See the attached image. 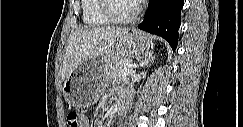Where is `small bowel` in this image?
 Returning <instances> with one entry per match:
<instances>
[{
    "mask_svg": "<svg viewBox=\"0 0 243 127\" xmlns=\"http://www.w3.org/2000/svg\"><path fill=\"white\" fill-rule=\"evenodd\" d=\"M124 94H127V92H124ZM84 126L85 127H88L89 126V122H88V120L86 118H84Z\"/></svg>",
    "mask_w": 243,
    "mask_h": 127,
    "instance_id": "1",
    "label": "small bowel"
}]
</instances>
